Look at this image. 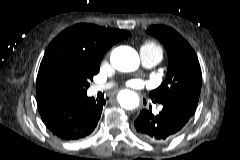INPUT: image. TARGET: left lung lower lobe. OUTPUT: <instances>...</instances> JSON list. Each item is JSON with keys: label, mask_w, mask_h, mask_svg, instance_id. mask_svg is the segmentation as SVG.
Listing matches in <instances>:
<instances>
[{"label": "left lung lower lobe", "mask_w": 240, "mask_h": 160, "mask_svg": "<svg viewBox=\"0 0 240 160\" xmlns=\"http://www.w3.org/2000/svg\"><path fill=\"white\" fill-rule=\"evenodd\" d=\"M163 109L153 114L142 110L134 122L136 133L145 141L163 143L173 138L193 116L194 110L173 102H162Z\"/></svg>", "instance_id": "left-lung-lower-lobe-1"}]
</instances>
